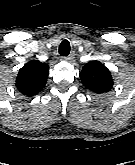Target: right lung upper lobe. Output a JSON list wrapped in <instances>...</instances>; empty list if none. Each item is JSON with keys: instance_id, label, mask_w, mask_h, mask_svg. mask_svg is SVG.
Returning <instances> with one entry per match:
<instances>
[{"instance_id": "obj_1", "label": "right lung upper lobe", "mask_w": 135, "mask_h": 165, "mask_svg": "<svg viewBox=\"0 0 135 165\" xmlns=\"http://www.w3.org/2000/svg\"><path fill=\"white\" fill-rule=\"evenodd\" d=\"M49 67L39 61H30L20 70L16 79L17 89L26 96L38 94L45 86Z\"/></svg>"}]
</instances>
